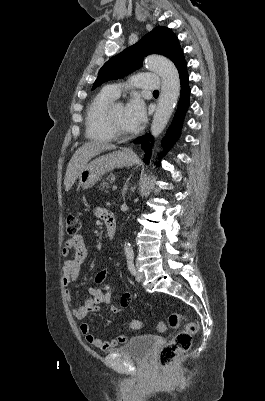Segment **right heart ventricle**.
<instances>
[{"instance_id": "1", "label": "right heart ventricle", "mask_w": 265, "mask_h": 401, "mask_svg": "<svg viewBox=\"0 0 265 401\" xmlns=\"http://www.w3.org/2000/svg\"><path fill=\"white\" fill-rule=\"evenodd\" d=\"M115 99L116 97L108 92V88L102 89L91 99L85 113V129L89 138L99 141L112 139L104 119Z\"/></svg>"}]
</instances>
